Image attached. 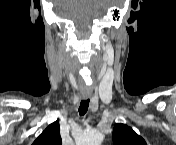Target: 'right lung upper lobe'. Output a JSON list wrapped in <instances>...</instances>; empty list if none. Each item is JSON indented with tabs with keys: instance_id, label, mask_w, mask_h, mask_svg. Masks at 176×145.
Returning a JSON list of instances; mask_svg holds the SVG:
<instances>
[{
	"instance_id": "right-lung-upper-lobe-1",
	"label": "right lung upper lobe",
	"mask_w": 176,
	"mask_h": 145,
	"mask_svg": "<svg viewBox=\"0 0 176 145\" xmlns=\"http://www.w3.org/2000/svg\"><path fill=\"white\" fill-rule=\"evenodd\" d=\"M33 145H62L59 120L50 124L33 142Z\"/></svg>"
}]
</instances>
